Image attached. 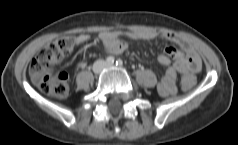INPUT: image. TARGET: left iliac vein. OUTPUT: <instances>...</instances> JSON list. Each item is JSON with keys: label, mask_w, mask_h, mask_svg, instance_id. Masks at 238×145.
Masks as SVG:
<instances>
[{"label": "left iliac vein", "mask_w": 238, "mask_h": 145, "mask_svg": "<svg viewBox=\"0 0 238 145\" xmlns=\"http://www.w3.org/2000/svg\"><path fill=\"white\" fill-rule=\"evenodd\" d=\"M112 67H113V64H108V63L105 64V68H112Z\"/></svg>", "instance_id": "1"}]
</instances>
